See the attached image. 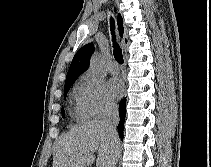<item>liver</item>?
<instances>
[{
	"label": "liver",
	"mask_w": 211,
	"mask_h": 167,
	"mask_svg": "<svg viewBox=\"0 0 211 167\" xmlns=\"http://www.w3.org/2000/svg\"><path fill=\"white\" fill-rule=\"evenodd\" d=\"M120 141H113L102 121H86L59 137L53 150V167H115Z\"/></svg>",
	"instance_id": "1"
}]
</instances>
